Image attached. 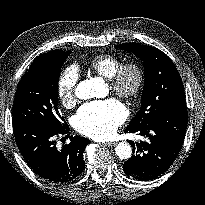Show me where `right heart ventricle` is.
<instances>
[{
    "mask_svg": "<svg viewBox=\"0 0 205 205\" xmlns=\"http://www.w3.org/2000/svg\"><path fill=\"white\" fill-rule=\"evenodd\" d=\"M122 64L123 60L120 57L100 54L88 62V68L102 77L110 79Z\"/></svg>",
    "mask_w": 205,
    "mask_h": 205,
    "instance_id": "right-heart-ventricle-1",
    "label": "right heart ventricle"
}]
</instances>
